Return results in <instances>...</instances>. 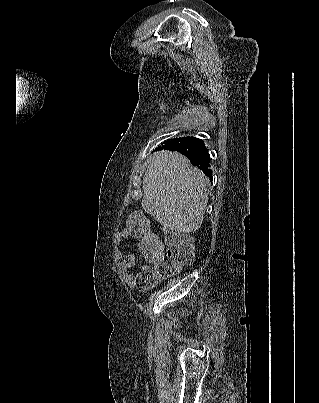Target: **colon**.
Here are the masks:
<instances>
[{
	"mask_svg": "<svg viewBox=\"0 0 319 403\" xmlns=\"http://www.w3.org/2000/svg\"><path fill=\"white\" fill-rule=\"evenodd\" d=\"M131 234L139 241V249L153 268L137 275V287L141 291L152 289L162 278L178 274L184 266L194 261L192 239L183 232L166 231L163 242L155 236L144 214H132L128 219Z\"/></svg>",
	"mask_w": 319,
	"mask_h": 403,
	"instance_id": "1",
	"label": "colon"
}]
</instances>
